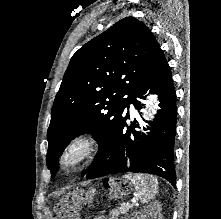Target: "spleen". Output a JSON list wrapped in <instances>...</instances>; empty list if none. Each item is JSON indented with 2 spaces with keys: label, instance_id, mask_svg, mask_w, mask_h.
I'll return each instance as SVG.
<instances>
[{
  "label": "spleen",
  "instance_id": "obj_1",
  "mask_svg": "<svg viewBox=\"0 0 221 219\" xmlns=\"http://www.w3.org/2000/svg\"><path fill=\"white\" fill-rule=\"evenodd\" d=\"M124 177L131 180L143 203H147L154 198L158 186L156 178L139 174L134 176L125 175Z\"/></svg>",
  "mask_w": 221,
  "mask_h": 219
}]
</instances>
